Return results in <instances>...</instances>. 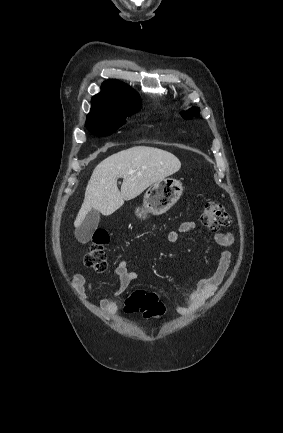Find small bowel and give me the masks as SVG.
I'll return each mask as SVG.
<instances>
[{
    "mask_svg": "<svg viewBox=\"0 0 283 433\" xmlns=\"http://www.w3.org/2000/svg\"><path fill=\"white\" fill-rule=\"evenodd\" d=\"M194 228L195 223L193 221L183 222L178 229L168 233L167 239L171 243H176L183 234L192 231ZM213 239L222 248L217 266L212 274L200 279L195 284L184 304L175 306L174 310L180 316H188L197 311L206 299L218 291L220 285L230 273L232 258L230 248L234 242L233 235L229 232H218L214 233ZM114 273L120 281L119 289L115 293V297H119L128 289L131 282L137 278V274L129 269L128 262L125 260L118 262ZM72 284L79 297L82 300H86L88 294L91 292V284L87 277L77 274L73 277ZM100 308L105 312L115 313L118 310V305L114 299L106 297L101 300Z\"/></svg>",
    "mask_w": 283,
    "mask_h": 433,
    "instance_id": "small-bowel-1",
    "label": "small bowel"
}]
</instances>
